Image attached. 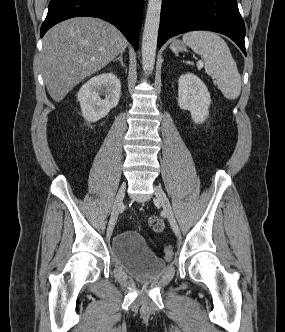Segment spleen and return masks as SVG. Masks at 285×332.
<instances>
[{
    "label": "spleen",
    "instance_id": "1",
    "mask_svg": "<svg viewBox=\"0 0 285 332\" xmlns=\"http://www.w3.org/2000/svg\"><path fill=\"white\" fill-rule=\"evenodd\" d=\"M183 41L204 60L205 71L216 79L217 87L229 100L241 92V76L227 43L216 33L192 31L183 35Z\"/></svg>",
    "mask_w": 285,
    "mask_h": 332
}]
</instances>
